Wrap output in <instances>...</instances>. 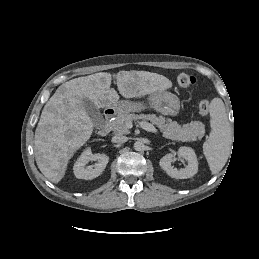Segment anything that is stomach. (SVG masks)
Instances as JSON below:
<instances>
[{
  "instance_id": "stomach-1",
  "label": "stomach",
  "mask_w": 259,
  "mask_h": 259,
  "mask_svg": "<svg viewBox=\"0 0 259 259\" xmlns=\"http://www.w3.org/2000/svg\"><path fill=\"white\" fill-rule=\"evenodd\" d=\"M147 107L153 108L163 115L176 116L180 110V101L175 94L168 91H162L150 94L146 102L123 100L113 106L116 113L119 115L138 112Z\"/></svg>"
}]
</instances>
